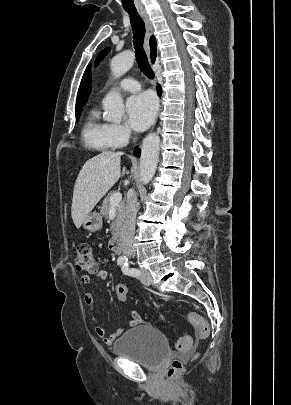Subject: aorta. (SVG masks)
Wrapping results in <instances>:
<instances>
[{"label": "aorta", "mask_w": 291, "mask_h": 405, "mask_svg": "<svg viewBox=\"0 0 291 405\" xmlns=\"http://www.w3.org/2000/svg\"><path fill=\"white\" fill-rule=\"evenodd\" d=\"M134 54L130 50L121 52L113 57L110 63L112 75L115 78L124 75L134 63ZM104 119L112 122H120L125 114L124 104L121 95L110 91L103 99ZM160 138L157 134H149L144 140L140 158V177L143 184H148L157 168L159 159Z\"/></svg>", "instance_id": "1"}]
</instances>
